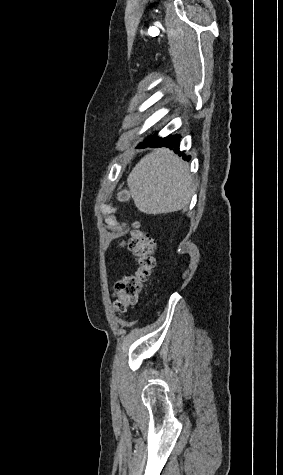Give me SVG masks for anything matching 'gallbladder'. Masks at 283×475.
Listing matches in <instances>:
<instances>
[{
	"label": "gallbladder",
	"instance_id": "bac80fb5",
	"mask_svg": "<svg viewBox=\"0 0 283 475\" xmlns=\"http://www.w3.org/2000/svg\"><path fill=\"white\" fill-rule=\"evenodd\" d=\"M130 196H129V192H127V190H123V192H119L118 194V200L119 202H127V200H129Z\"/></svg>",
	"mask_w": 283,
	"mask_h": 475
}]
</instances>
